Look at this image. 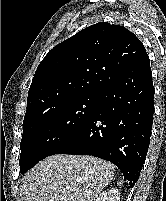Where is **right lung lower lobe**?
<instances>
[{
	"label": "right lung lower lobe",
	"mask_w": 166,
	"mask_h": 201,
	"mask_svg": "<svg viewBox=\"0 0 166 201\" xmlns=\"http://www.w3.org/2000/svg\"><path fill=\"white\" fill-rule=\"evenodd\" d=\"M154 87L146 54L102 91L91 117L50 155H91L115 164L135 185L150 142Z\"/></svg>",
	"instance_id": "obj_1"
}]
</instances>
